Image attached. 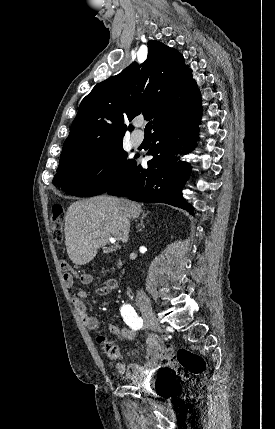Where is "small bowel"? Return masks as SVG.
Instances as JSON below:
<instances>
[{
  "instance_id": "c3829d8e",
  "label": "small bowel",
  "mask_w": 275,
  "mask_h": 429,
  "mask_svg": "<svg viewBox=\"0 0 275 429\" xmlns=\"http://www.w3.org/2000/svg\"><path fill=\"white\" fill-rule=\"evenodd\" d=\"M64 280L68 285V287L72 288L73 282H74V276L70 270L68 272H65ZM78 280L82 284L88 285L92 283L93 278L90 274L83 273L78 275ZM116 287H117V282L114 279H108L102 286L97 288V293L102 296L108 295L111 292H113L116 289ZM86 297H87V294L83 290L72 292V302L75 310L80 315L84 326L88 330L93 331L98 328L99 320L96 316L89 315L87 313V308L85 304ZM109 330L113 334L119 335L127 340H134L137 336L136 330L128 327L119 326L116 324H111L109 326ZM160 353H161V345L158 342V340L153 337H149L145 343V349H144V355H143L145 359L144 364L131 363L129 365H119L118 369L122 374H124L128 378L135 379L141 376H145L148 373L153 372L160 367V364H159Z\"/></svg>"
}]
</instances>
